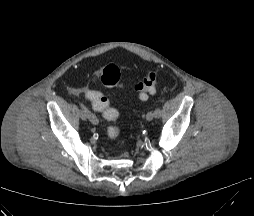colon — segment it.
Wrapping results in <instances>:
<instances>
[{
  "instance_id": "obj_1",
  "label": "colon",
  "mask_w": 254,
  "mask_h": 216,
  "mask_svg": "<svg viewBox=\"0 0 254 216\" xmlns=\"http://www.w3.org/2000/svg\"><path fill=\"white\" fill-rule=\"evenodd\" d=\"M100 81L104 86L109 88H121L120 70L117 66L110 64L97 71L91 79V82ZM157 75L154 71L147 72L142 80L134 86V91L141 100H147L149 95L155 93L157 87ZM86 97L92 101L93 106L103 112L104 119L114 122L119 116L116 108L109 106L108 98L96 89H88ZM120 129L116 125L108 127L107 134L111 138L119 135Z\"/></svg>"
}]
</instances>
